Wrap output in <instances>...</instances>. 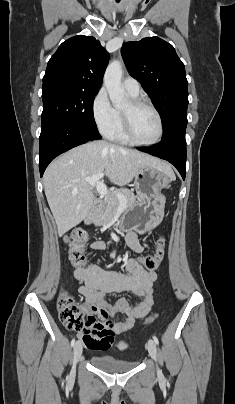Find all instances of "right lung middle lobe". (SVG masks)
<instances>
[{
  "label": "right lung middle lobe",
  "mask_w": 235,
  "mask_h": 404,
  "mask_svg": "<svg viewBox=\"0 0 235 404\" xmlns=\"http://www.w3.org/2000/svg\"><path fill=\"white\" fill-rule=\"evenodd\" d=\"M96 94L61 84L43 86L42 128L66 123L97 131L93 116Z\"/></svg>",
  "instance_id": "obj_1"
}]
</instances>
